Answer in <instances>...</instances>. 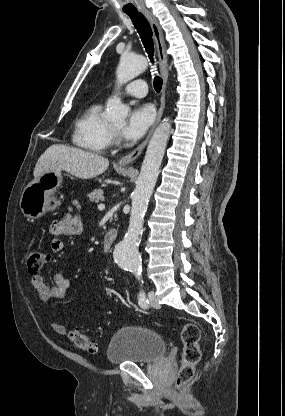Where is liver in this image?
Instances as JSON below:
<instances>
[{"label":"liver","mask_w":285,"mask_h":416,"mask_svg":"<svg viewBox=\"0 0 285 416\" xmlns=\"http://www.w3.org/2000/svg\"><path fill=\"white\" fill-rule=\"evenodd\" d=\"M109 166V160L93 154V152H84L79 148H69L54 144L50 146L42 156H40L33 172L34 178H39L49 170H64L81 180H91L106 172Z\"/></svg>","instance_id":"1"}]
</instances>
